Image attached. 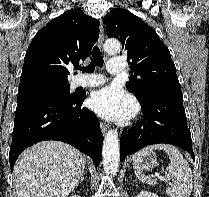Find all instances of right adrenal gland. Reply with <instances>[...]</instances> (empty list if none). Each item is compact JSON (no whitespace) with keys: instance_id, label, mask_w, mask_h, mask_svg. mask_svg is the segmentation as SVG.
I'll list each match as a JSON object with an SVG mask.
<instances>
[{"instance_id":"right-adrenal-gland-1","label":"right adrenal gland","mask_w":209,"mask_h":197,"mask_svg":"<svg viewBox=\"0 0 209 197\" xmlns=\"http://www.w3.org/2000/svg\"><path fill=\"white\" fill-rule=\"evenodd\" d=\"M83 180H84V172L80 176V182H83Z\"/></svg>"}]
</instances>
